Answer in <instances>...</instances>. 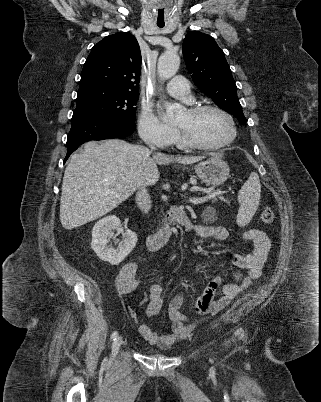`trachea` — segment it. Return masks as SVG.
Listing matches in <instances>:
<instances>
[{
  "instance_id": "trachea-1",
  "label": "trachea",
  "mask_w": 321,
  "mask_h": 402,
  "mask_svg": "<svg viewBox=\"0 0 321 402\" xmlns=\"http://www.w3.org/2000/svg\"><path fill=\"white\" fill-rule=\"evenodd\" d=\"M157 26H158L159 28H163L165 25H164V24H157Z\"/></svg>"
}]
</instances>
